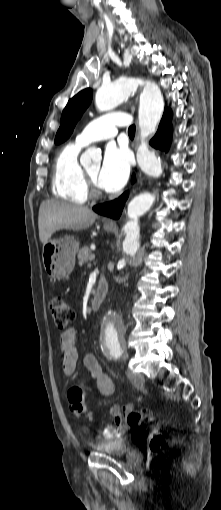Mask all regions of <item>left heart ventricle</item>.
Segmentation results:
<instances>
[{
  "mask_svg": "<svg viewBox=\"0 0 221 510\" xmlns=\"http://www.w3.org/2000/svg\"><path fill=\"white\" fill-rule=\"evenodd\" d=\"M90 177L98 184L99 166H94L87 170Z\"/></svg>",
  "mask_w": 221,
  "mask_h": 510,
  "instance_id": "1",
  "label": "left heart ventricle"
}]
</instances>
